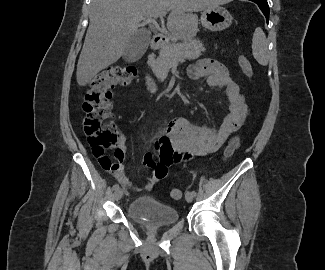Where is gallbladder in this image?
Returning <instances> with one entry per match:
<instances>
[{"label":"gallbladder","mask_w":325,"mask_h":270,"mask_svg":"<svg viewBox=\"0 0 325 270\" xmlns=\"http://www.w3.org/2000/svg\"><path fill=\"white\" fill-rule=\"evenodd\" d=\"M151 33L147 30H138L132 37L125 49L124 59L132 62L140 59L148 48Z\"/></svg>","instance_id":"bac80fb5"}]
</instances>
